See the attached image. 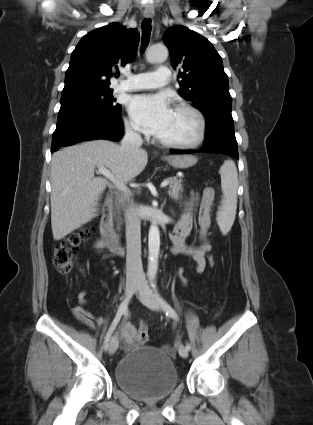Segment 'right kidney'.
<instances>
[{
  "mask_svg": "<svg viewBox=\"0 0 313 425\" xmlns=\"http://www.w3.org/2000/svg\"><path fill=\"white\" fill-rule=\"evenodd\" d=\"M98 246L102 247V246H103V243H102V242H100V243L98 244Z\"/></svg>",
  "mask_w": 313,
  "mask_h": 425,
  "instance_id": "ca27d5eb",
  "label": "right kidney"
}]
</instances>
